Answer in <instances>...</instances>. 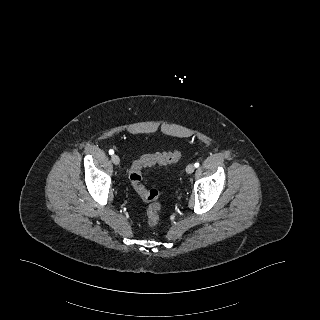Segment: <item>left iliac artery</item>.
Segmentation results:
<instances>
[{"label": "left iliac artery", "mask_w": 320, "mask_h": 320, "mask_svg": "<svg viewBox=\"0 0 320 320\" xmlns=\"http://www.w3.org/2000/svg\"><path fill=\"white\" fill-rule=\"evenodd\" d=\"M199 163L198 162H196L195 164H194V166L197 168V167H199Z\"/></svg>", "instance_id": "1"}]
</instances>
